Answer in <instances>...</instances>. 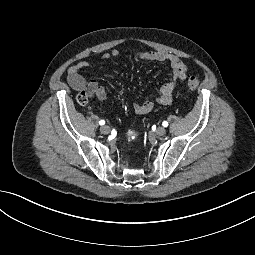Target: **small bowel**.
Masks as SVG:
<instances>
[{"mask_svg": "<svg viewBox=\"0 0 255 255\" xmlns=\"http://www.w3.org/2000/svg\"><path fill=\"white\" fill-rule=\"evenodd\" d=\"M120 54L118 49H113L109 53L102 56L103 60H108L112 57H118ZM137 61H152L167 63L171 69V78L164 83L158 93L149 99L135 103L133 106L137 114H146L150 112L155 104L168 105L172 101V95L177 85L187 78L188 68L183 60L177 55L162 52L148 51L140 52L134 55ZM93 64L91 60H83L69 67L67 72V80L69 85L76 91L87 88L90 94L96 96L99 100L106 99L105 89L98 85L94 80L86 81L81 74V71L90 67Z\"/></svg>", "mask_w": 255, "mask_h": 255, "instance_id": "small-bowel-1", "label": "small bowel"}]
</instances>
